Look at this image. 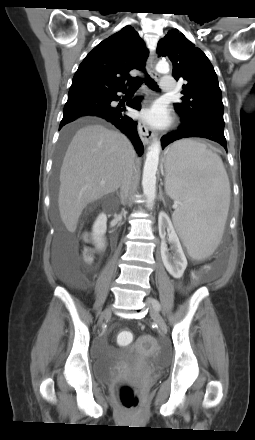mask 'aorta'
Masks as SVG:
<instances>
[{
  "instance_id": "1",
  "label": "aorta",
  "mask_w": 255,
  "mask_h": 440,
  "mask_svg": "<svg viewBox=\"0 0 255 440\" xmlns=\"http://www.w3.org/2000/svg\"><path fill=\"white\" fill-rule=\"evenodd\" d=\"M156 70L160 73L169 72V64L166 61H159ZM161 145L158 140H154L149 146L144 163L142 187L146 197L148 208H152L156 198V172L159 163Z\"/></svg>"
}]
</instances>
